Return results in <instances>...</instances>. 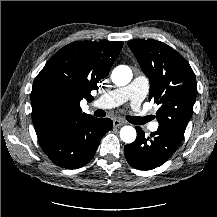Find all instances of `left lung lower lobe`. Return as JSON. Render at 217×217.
Instances as JSON below:
<instances>
[{
  "label": "left lung lower lobe",
  "mask_w": 217,
  "mask_h": 217,
  "mask_svg": "<svg viewBox=\"0 0 217 217\" xmlns=\"http://www.w3.org/2000/svg\"><path fill=\"white\" fill-rule=\"evenodd\" d=\"M136 130V140L125 145L124 153L127 162L139 170H151L165 163L183 139V136L165 127H159L149 137H145L140 127Z\"/></svg>",
  "instance_id": "left-lung-lower-lobe-1"
}]
</instances>
